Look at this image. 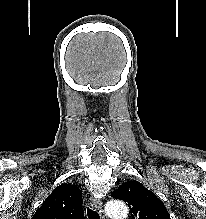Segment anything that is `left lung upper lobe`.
<instances>
[{
  "mask_svg": "<svg viewBox=\"0 0 206 219\" xmlns=\"http://www.w3.org/2000/svg\"><path fill=\"white\" fill-rule=\"evenodd\" d=\"M111 197L128 204L132 219H170L163 202L140 182L133 180L120 185Z\"/></svg>",
  "mask_w": 206,
  "mask_h": 219,
  "instance_id": "5c2ea615",
  "label": "left lung upper lobe"
}]
</instances>
